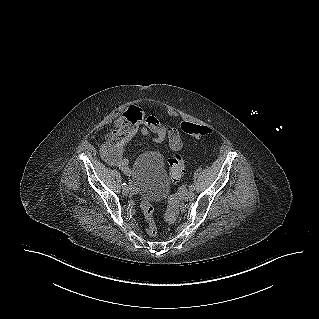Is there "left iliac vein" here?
Returning a JSON list of instances; mask_svg holds the SVG:
<instances>
[{"mask_svg": "<svg viewBox=\"0 0 319 319\" xmlns=\"http://www.w3.org/2000/svg\"><path fill=\"white\" fill-rule=\"evenodd\" d=\"M194 199V193L192 191H188L184 194V200L192 201Z\"/></svg>", "mask_w": 319, "mask_h": 319, "instance_id": "4c4485c4", "label": "left iliac vein"}]
</instances>
